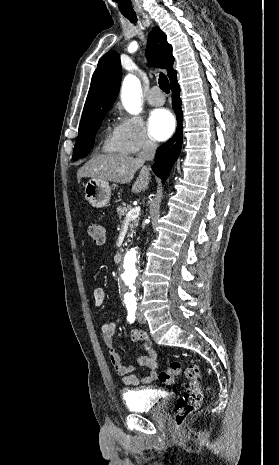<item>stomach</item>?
Returning <instances> with one entry per match:
<instances>
[{
    "mask_svg": "<svg viewBox=\"0 0 279 465\" xmlns=\"http://www.w3.org/2000/svg\"><path fill=\"white\" fill-rule=\"evenodd\" d=\"M85 198L94 208L105 207L111 196V188L107 181L91 178L84 185Z\"/></svg>",
    "mask_w": 279,
    "mask_h": 465,
    "instance_id": "1",
    "label": "stomach"
}]
</instances>
